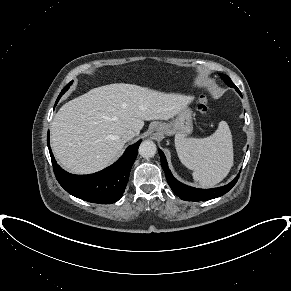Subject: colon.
<instances>
[{
	"label": "colon",
	"instance_id": "5ec220e1",
	"mask_svg": "<svg viewBox=\"0 0 291 291\" xmlns=\"http://www.w3.org/2000/svg\"><path fill=\"white\" fill-rule=\"evenodd\" d=\"M208 103H207V100L205 98H202L200 100V104H199V110L202 112V113H206L208 111Z\"/></svg>",
	"mask_w": 291,
	"mask_h": 291
}]
</instances>
